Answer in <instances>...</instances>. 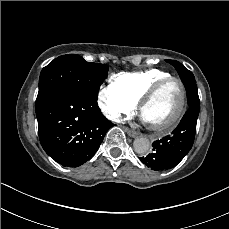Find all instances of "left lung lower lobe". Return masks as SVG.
Returning <instances> with one entry per match:
<instances>
[{
  "label": "left lung lower lobe",
  "instance_id": "left-lung-lower-lobe-1",
  "mask_svg": "<svg viewBox=\"0 0 229 229\" xmlns=\"http://www.w3.org/2000/svg\"><path fill=\"white\" fill-rule=\"evenodd\" d=\"M188 101V110L171 135L154 141L153 152L140 160L155 171L175 167L193 146L200 102L195 78L183 82Z\"/></svg>",
  "mask_w": 229,
  "mask_h": 229
}]
</instances>
